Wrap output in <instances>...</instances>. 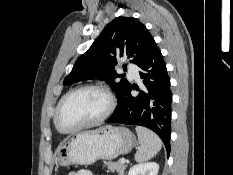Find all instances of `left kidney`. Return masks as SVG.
<instances>
[{
    "label": "left kidney",
    "mask_w": 233,
    "mask_h": 175,
    "mask_svg": "<svg viewBox=\"0 0 233 175\" xmlns=\"http://www.w3.org/2000/svg\"><path fill=\"white\" fill-rule=\"evenodd\" d=\"M159 165L156 162H147L134 165L130 168L128 175H157Z\"/></svg>",
    "instance_id": "5707ae66"
}]
</instances>
